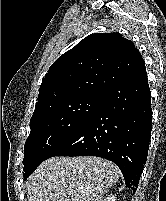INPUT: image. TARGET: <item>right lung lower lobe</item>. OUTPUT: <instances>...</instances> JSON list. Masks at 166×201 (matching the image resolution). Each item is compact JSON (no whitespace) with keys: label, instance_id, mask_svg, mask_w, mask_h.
<instances>
[{"label":"right lung lower lobe","instance_id":"right-lung-lower-lobe-1","mask_svg":"<svg viewBox=\"0 0 166 201\" xmlns=\"http://www.w3.org/2000/svg\"><path fill=\"white\" fill-rule=\"evenodd\" d=\"M151 123V93L142 59L102 95L96 109L48 158L92 155L110 160L135 193L148 155Z\"/></svg>","mask_w":166,"mask_h":201}]
</instances>
